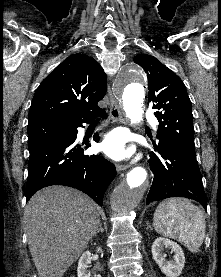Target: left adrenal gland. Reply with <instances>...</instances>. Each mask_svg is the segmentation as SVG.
Listing matches in <instances>:
<instances>
[{"label":"left adrenal gland","instance_id":"a2214340","mask_svg":"<svg viewBox=\"0 0 221 277\" xmlns=\"http://www.w3.org/2000/svg\"><path fill=\"white\" fill-rule=\"evenodd\" d=\"M147 228H151V227L147 224Z\"/></svg>","mask_w":221,"mask_h":277}]
</instances>
